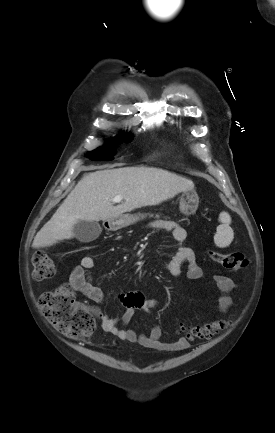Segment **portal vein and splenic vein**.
<instances>
[{
    "label": "portal vein and splenic vein",
    "mask_w": 275,
    "mask_h": 433,
    "mask_svg": "<svg viewBox=\"0 0 275 433\" xmlns=\"http://www.w3.org/2000/svg\"><path fill=\"white\" fill-rule=\"evenodd\" d=\"M123 200V197L120 195L115 196L113 199H111V201L113 203H120Z\"/></svg>",
    "instance_id": "portal-vein-and-splenic-vein-1"
}]
</instances>
